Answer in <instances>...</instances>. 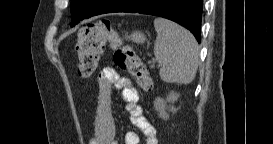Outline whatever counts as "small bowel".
<instances>
[{
    "label": "small bowel",
    "instance_id": "c3829d8e",
    "mask_svg": "<svg viewBox=\"0 0 273 144\" xmlns=\"http://www.w3.org/2000/svg\"><path fill=\"white\" fill-rule=\"evenodd\" d=\"M98 107L95 117V132L91 144H117L116 128L111 113V90H120L125 102L124 110L130 123L145 137L146 144H157L156 130L143 114L139 105V93L132 82L112 68H103L97 80ZM125 144H139L140 135L129 131L125 135Z\"/></svg>",
    "mask_w": 273,
    "mask_h": 144
}]
</instances>
